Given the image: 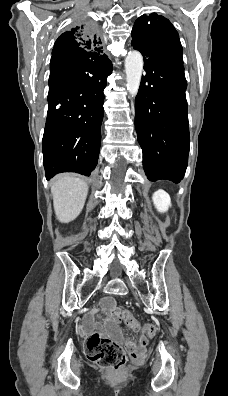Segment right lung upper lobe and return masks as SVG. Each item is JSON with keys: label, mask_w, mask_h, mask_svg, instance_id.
<instances>
[{"label": "right lung upper lobe", "mask_w": 228, "mask_h": 396, "mask_svg": "<svg viewBox=\"0 0 228 396\" xmlns=\"http://www.w3.org/2000/svg\"><path fill=\"white\" fill-rule=\"evenodd\" d=\"M100 44V38L92 30L77 26L61 34L55 42L52 56H65L76 51L102 56L105 54Z\"/></svg>", "instance_id": "cb5924a9"}]
</instances>
